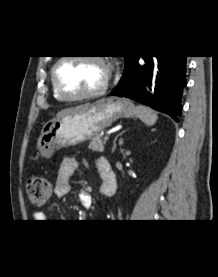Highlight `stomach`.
Segmentation results:
<instances>
[{
  "label": "stomach",
  "mask_w": 218,
  "mask_h": 277,
  "mask_svg": "<svg viewBox=\"0 0 218 277\" xmlns=\"http://www.w3.org/2000/svg\"><path fill=\"white\" fill-rule=\"evenodd\" d=\"M137 115L134 104L125 98L108 97L68 116L46 123L37 140L42 157L50 158L57 150L91 140L120 118Z\"/></svg>",
  "instance_id": "stomach-1"
}]
</instances>
